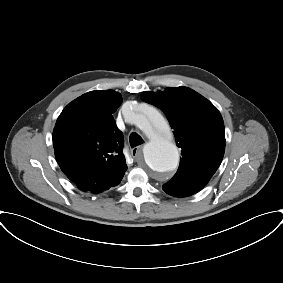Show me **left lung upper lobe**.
<instances>
[{"mask_svg":"<svg viewBox=\"0 0 283 283\" xmlns=\"http://www.w3.org/2000/svg\"><path fill=\"white\" fill-rule=\"evenodd\" d=\"M142 99L166 114L177 146L182 149L179 169L165 185L184 182L204 187L220 166L225 151L220 112L210 101L187 87L143 92Z\"/></svg>","mask_w":283,"mask_h":283,"instance_id":"5c2ea615","label":"left lung upper lobe"}]
</instances>
